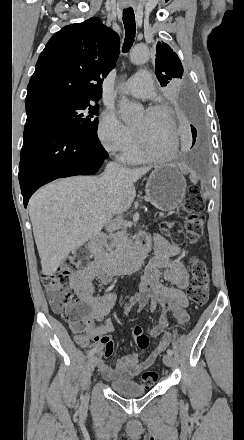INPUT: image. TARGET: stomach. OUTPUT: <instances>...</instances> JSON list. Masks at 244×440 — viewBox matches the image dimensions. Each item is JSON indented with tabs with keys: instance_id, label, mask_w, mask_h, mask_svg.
<instances>
[{
	"instance_id": "stomach-1",
	"label": "stomach",
	"mask_w": 244,
	"mask_h": 440,
	"mask_svg": "<svg viewBox=\"0 0 244 440\" xmlns=\"http://www.w3.org/2000/svg\"><path fill=\"white\" fill-rule=\"evenodd\" d=\"M186 188V180L179 172L178 166L165 164L151 172L145 186V194L152 206L163 212H171L182 204Z\"/></svg>"
}]
</instances>
